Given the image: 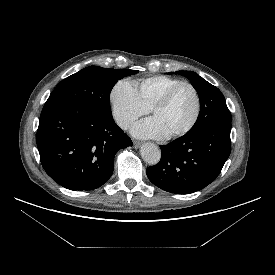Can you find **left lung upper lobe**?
Wrapping results in <instances>:
<instances>
[{"label": "left lung upper lobe", "mask_w": 275, "mask_h": 275, "mask_svg": "<svg viewBox=\"0 0 275 275\" xmlns=\"http://www.w3.org/2000/svg\"><path fill=\"white\" fill-rule=\"evenodd\" d=\"M176 73L191 81L198 92L201 103L197 121L188 132L209 128H231V113L221 91L193 71H177Z\"/></svg>", "instance_id": "5c2ea615"}]
</instances>
